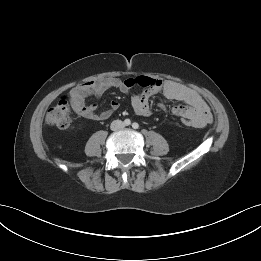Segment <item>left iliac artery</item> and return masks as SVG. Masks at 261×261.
Instances as JSON below:
<instances>
[{
    "instance_id": "left-iliac-artery-1",
    "label": "left iliac artery",
    "mask_w": 261,
    "mask_h": 261,
    "mask_svg": "<svg viewBox=\"0 0 261 261\" xmlns=\"http://www.w3.org/2000/svg\"><path fill=\"white\" fill-rule=\"evenodd\" d=\"M132 127H133L134 129H138V128H139V124L136 123V122H134V123L132 124Z\"/></svg>"
}]
</instances>
